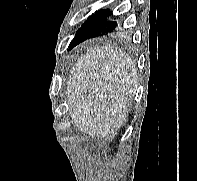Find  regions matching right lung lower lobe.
<instances>
[{
  "mask_svg": "<svg viewBox=\"0 0 197 181\" xmlns=\"http://www.w3.org/2000/svg\"><path fill=\"white\" fill-rule=\"evenodd\" d=\"M111 15L112 12L108 9L99 10L91 15L77 31L74 39L70 43V48H73L87 39L102 36L114 30L117 23L107 21V18Z\"/></svg>",
  "mask_w": 197,
  "mask_h": 181,
  "instance_id": "right-lung-lower-lobe-1",
  "label": "right lung lower lobe"
}]
</instances>
